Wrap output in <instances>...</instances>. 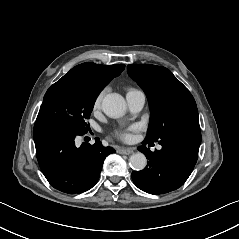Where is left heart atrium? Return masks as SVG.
Listing matches in <instances>:
<instances>
[{"label":"left heart atrium","mask_w":239,"mask_h":239,"mask_svg":"<svg viewBox=\"0 0 239 239\" xmlns=\"http://www.w3.org/2000/svg\"><path fill=\"white\" fill-rule=\"evenodd\" d=\"M139 129V124H132L127 127H118L114 129V134L123 140H130L132 137V132Z\"/></svg>","instance_id":"39dd6f15"}]
</instances>
